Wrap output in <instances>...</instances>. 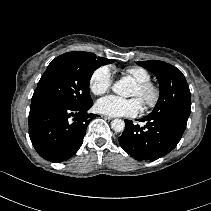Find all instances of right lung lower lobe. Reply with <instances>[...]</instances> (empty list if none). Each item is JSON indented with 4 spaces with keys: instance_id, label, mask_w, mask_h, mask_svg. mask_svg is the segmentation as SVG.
<instances>
[{
    "instance_id": "right-lung-lower-lobe-1",
    "label": "right lung lower lobe",
    "mask_w": 211,
    "mask_h": 211,
    "mask_svg": "<svg viewBox=\"0 0 211 211\" xmlns=\"http://www.w3.org/2000/svg\"><path fill=\"white\" fill-rule=\"evenodd\" d=\"M92 105L76 108L57 103L31 104L29 136L38 154L53 163L74 155L83 142L88 122L96 116L87 113Z\"/></svg>"
}]
</instances>
